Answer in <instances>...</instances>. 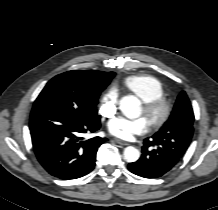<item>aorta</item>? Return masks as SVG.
<instances>
[{"instance_id":"1","label":"aorta","mask_w":218,"mask_h":210,"mask_svg":"<svg viewBox=\"0 0 218 210\" xmlns=\"http://www.w3.org/2000/svg\"><path fill=\"white\" fill-rule=\"evenodd\" d=\"M121 112L128 118L134 119L140 115V100L132 95L124 96L119 102ZM140 152L132 146H128L124 150V158L128 162H135L139 159Z\"/></svg>"}]
</instances>
